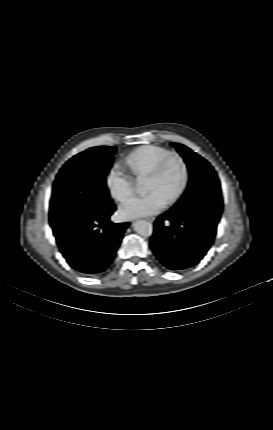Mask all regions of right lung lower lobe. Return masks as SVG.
<instances>
[{
  "mask_svg": "<svg viewBox=\"0 0 273 430\" xmlns=\"http://www.w3.org/2000/svg\"><path fill=\"white\" fill-rule=\"evenodd\" d=\"M114 210L115 206L53 230L64 258L83 275L94 276L106 271L115 257L129 223L110 222Z\"/></svg>",
  "mask_w": 273,
  "mask_h": 430,
  "instance_id": "obj_1",
  "label": "right lung lower lobe"
}]
</instances>
